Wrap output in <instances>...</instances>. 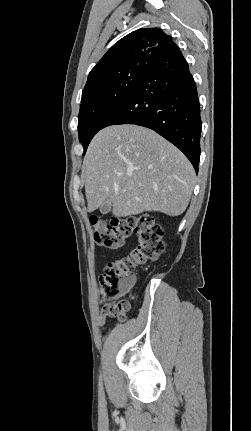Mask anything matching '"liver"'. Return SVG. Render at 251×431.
<instances>
[{"label": "liver", "mask_w": 251, "mask_h": 431, "mask_svg": "<svg viewBox=\"0 0 251 431\" xmlns=\"http://www.w3.org/2000/svg\"><path fill=\"white\" fill-rule=\"evenodd\" d=\"M87 210L109 200L113 215L145 211L182 214L195 185V171L175 146L154 131L137 125L100 130L84 157Z\"/></svg>", "instance_id": "1"}]
</instances>
